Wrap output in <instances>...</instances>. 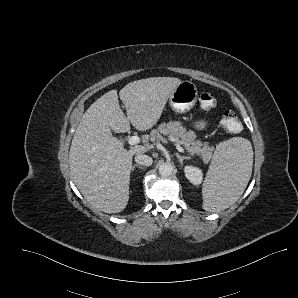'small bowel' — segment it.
I'll return each instance as SVG.
<instances>
[{
	"mask_svg": "<svg viewBox=\"0 0 298 298\" xmlns=\"http://www.w3.org/2000/svg\"><path fill=\"white\" fill-rule=\"evenodd\" d=\"M206 126V122L205 121H199L196 123V128L197 129H203Z\"/></svg>",
	"mask_w": 298,
	"mask_h": 298,
	"instance_id": "c3829d8e",
	"label": "small bowel"
}]
</instances>
